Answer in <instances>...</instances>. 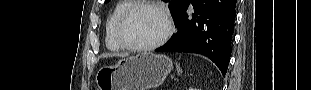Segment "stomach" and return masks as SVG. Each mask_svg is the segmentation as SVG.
I'll list each match as a JSON object with an SVG mask.
<instances>
[{
  "mask_svg": "<svg viewBox=\"0 0 311 90\" xmlns=\"http://www.w3.org/2000/svg\"><path fill=\"white\" fill-rule=\"evenodd\" d=\"M171 70L167 56L144 52L100 68L95 80L98 90H148L160 86Z\"/></svg>",
  "mask_w": 311,
  "mask_h": 90,
  "instance_id": "obj_1",
  "label": "stomach"
}]
</instances>
